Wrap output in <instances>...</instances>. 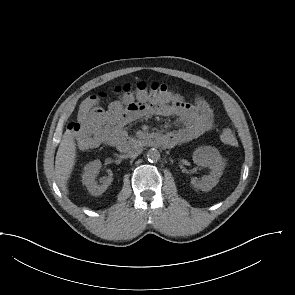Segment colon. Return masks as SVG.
<instances>
[{
  "instance_id": "obj_1",
  "label": "colon",
  "mask_w": 295,
  "mask_h": 295,
  "mask_svg": "<svg viewBox=\"0 0 295 295\" xmlns=\"http://www.w3.org/2000/svg\"><path fill=\"white\" fill-rule=\"evenodd\" d=\"M114 93L125 94L134 91H147V92H171V88L164 83H146L140 82L135 85L125 84L122 86H117L114 88ZM104 94H94L85 98L78 111V118L75 123H73V129L75 131L82 130L85 126L87 119L90 115L98 108L99 101ZM91 137H95L91 135ZM220 140L222 143L235 146L237 144V139L234 132L230 128H225L221 131Z\"/></svg>"
}]
</instances>
